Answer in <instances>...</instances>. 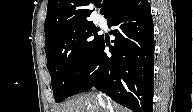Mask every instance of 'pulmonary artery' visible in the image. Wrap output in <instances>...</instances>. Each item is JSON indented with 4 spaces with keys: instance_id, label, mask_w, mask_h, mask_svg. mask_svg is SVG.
I'll list each match as a JSON object with an SVG mask.
<instances>
[{
    "instance_id": "obj_1",
    "label": "pulmonary artery",
    "mask_w": 193,
    "mask_h": 112,
    "mask_svg": "<svg viewBox=\"0 0 193 112\" xmlns=\"http://www.w3.org/2000/svg\"><path fill=\"white\" fill-rule=\"evenodd\" d=\"M96 22H97L98 24H100V25H103V24H104V20H103V18H102L101 16H97V17H96Z\"/></svg>"
}]
</instances>
